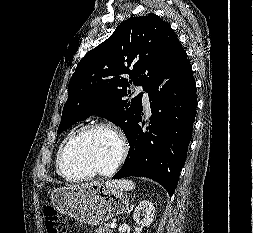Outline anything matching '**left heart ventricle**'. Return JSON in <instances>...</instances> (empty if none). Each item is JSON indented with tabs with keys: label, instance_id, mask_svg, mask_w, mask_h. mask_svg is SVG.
<instances>
[{
	"label": "left heart ventricle",
	"instance_id": "b2bd125f",
	"mask_svg": "<svg viewBox=\"0 0 253 233\" xmlns=\"http://www.w3.org/2000/svg\"><path fill=\"white\" fill-rule=\"evenodd\" d=\"M119 153V142L106 130H94L78 138L65 158V172L70 176L84 175L93 170L109 169Z\"/></svg>",
	"mask_w": 253,
	"mask_h": 233
}]
</instances>
